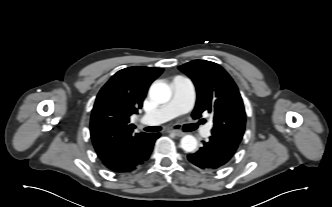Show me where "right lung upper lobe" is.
<instances>
[{
    "instance_id": "1",
    "label": "right lung upper lobe",
    "mask_w": 332,
    "mask_h": 207,
    "mask_svg": "<svg viewBox=\"0 0 332 207\" xmlns=\"http://www.w3.org/2000/svg\"><path fill=\"white\" fill-rule=\"evenodd\" d=\"M162 68L129 67L118 71L97 95L90 121L94 148L101 160L125 155L146 133L133 134L130 116L142 107L150 84Z\"/></svg>"
}]
</instances>
